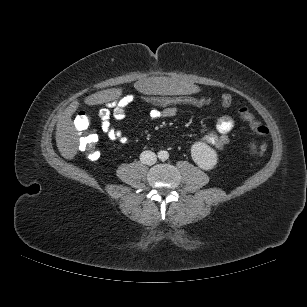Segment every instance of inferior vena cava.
<instances>
[{"instance_id":"obj_1","label":"inferior vena cava","mask_w":307,"mask_h":307,"mask_svg":"<svg viewBox=\"0 0 307 307\" xmlns=\"http://www.w3.org/2000/svg\"><path fill=\"white\" fill-rule=\"evenodd\" d=\"M140 161L143 164L151 166L156 163L157 156L154 152L146 150L140 154Z\"/></svg>"}]
</instances>
